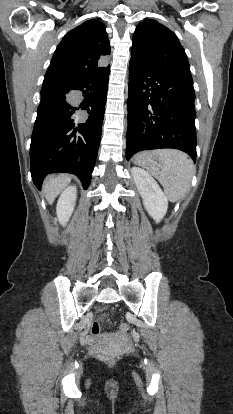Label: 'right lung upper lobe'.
I'll return each mask as SVG.
<instances>
[{"label": "right lung upper lobe", "mask_w": 233, "mask_h": 414, "mask_svg": "<svg viewBox=\"0 0 233 414\" xmlns=\"http://www.w3.org/2000/svg\"><path fill=\"white\" fill-rule=\"evenodd\" d=\"M110 43L104 25L91 19L69 31L57 46L45 77L75 79L109 69Z\"/></svg>", "instance_id": "obj_1"}]
</instances>
